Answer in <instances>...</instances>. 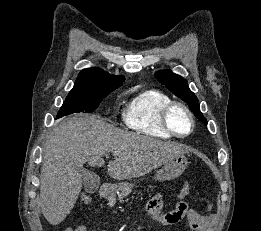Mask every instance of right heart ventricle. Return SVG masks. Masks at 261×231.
Instances as JSON below:
<instances>
[{
  "label": "right heart ventricle",
  "mask_w": 261,
  "mask_h": 231,
  "mask_svg": "<svg viewBox=\"0 0 261 231\" xmlns=\"http://www.w3.org/2000/svg\"><path fill=\"white\" fill-rule=\"evenodd\" d=\"M172 102L165 93L157 90H146L135 95L122 111L124 125L146 136L170 139L161 124L163 108Z\"/></svg>",
  "instance_id": "right-heart-ventricle-1"
}]
</instances>
